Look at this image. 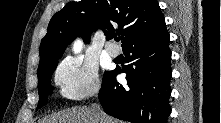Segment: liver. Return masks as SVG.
I'll return each mask as SVG.
<instances>
[{
  "label": "liver",
  "mask_w": 221,
  "mask_h": 123,
  "mask_svg": "<svg viewBox=\"0 0 221 123\" xmlns=\"http://www.w3.org/2000/svg\"><path fill=\"white\" fill-rule=\"evenodd\" d=\"M94 116L90 107L72 108L61 111L43 120V123H95ZM101 122L99 123H118L110 116L101 112Z\"/></svg>",
  "instance_id": "obj_1"
}]
</instances>
